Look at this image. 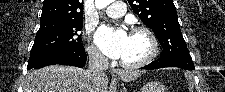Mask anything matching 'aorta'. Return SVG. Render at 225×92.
I'll return each mask as SVG.
<instances>
[{"label":"aorta","mask_w":225,"mask_h":92,"mask_svg":"<svg viewBox=\"0 0 225 92\" xmlns=\"http://www.w3.org/2000/svg\"><path fill=\"white\" fill-rule=\"evenodd\" d=\"M111 2H113V0H96L95 5L98 9H102L109 5Z\"/></svg>","instance_id":"1"}]
</instances>
